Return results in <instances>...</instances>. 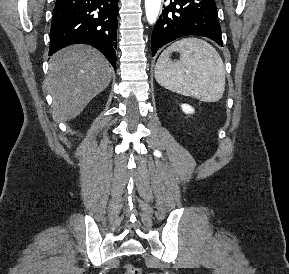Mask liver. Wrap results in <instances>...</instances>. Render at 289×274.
<instances>
[{
	"instance_id": "6515ba94",
	"label": "liver",
	"mask_w": 289,
	"mask_h": 274,
	"mask_svg": "<svg viewBox=\"0 0 289 274\" xmlns=\"http://www.w3.org/2000/svg\"><path fill=\"white\" fill-rule=\"evenodd\" d=\"M106 58L88 45H72L53 55L46 80L53 98V118L69 121L105 90L112 77Z\"/></svg>"
}]
</instances>
